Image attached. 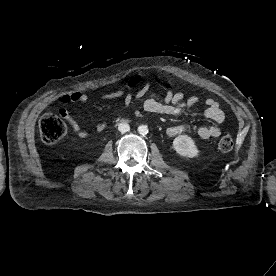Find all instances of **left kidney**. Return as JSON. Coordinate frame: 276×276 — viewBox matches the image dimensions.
<instances>
[{
  "mask_svg": "<svg viewBox=\"0 0 276 276\" xmlns=\"http://www.w3.org/2000/svg\"><path fill=\"white\" fill-rule=\"evenodd\" d=\"M174 150L183 157L193 158L198 156L199 150L194 140L187 135H179L173 140Z\"/></svg>",
  "mask_w": 276,
  "mask_h": 276,
  "instance_id": "1",
  "label": "left kidney"
}]
</instances>
